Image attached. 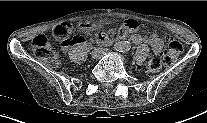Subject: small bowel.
I'll list each match as a JSON object with an SVG mask.
<instances>
[{
  "mask_svg": "<svg viewBox=\"0 0 207 123\" xmlns=\"http://www.w3.org/2000/svg\"><path fill=\"white\" fill-rule=\"evenodd\" d=\"M103 28H104L103 24H96L93 29L101 30ZM136 28H137V22L135 20H127L122 25L119 34L120 36L124 37L129 33H133L136 30ZM86 30L87 28L85 29V31ZM98 38L101 43H104L109 39L105 33H101ZM131 39L134 44H141V43L149 44L153 50V53L156 55L160 54L164 48L163 40L155 33H152L148 36H141L138 34H134L132 35ZM81 42H84V38H79V41L76 42L75 44ZM67 48L68 46H63V49H67Z\"/></svg>",
  "mask_w": 207,
  "mask_h": 123,
  "instance_id": "c3829d8e",
  "label": "small bowel"
}]
</instances>
